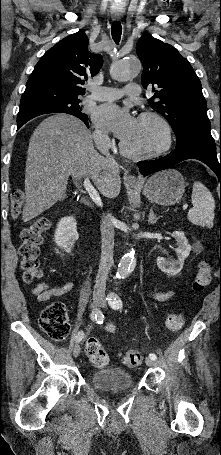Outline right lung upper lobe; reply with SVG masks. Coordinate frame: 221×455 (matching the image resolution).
I'll use <instances>...</instances> for the list:
<instances>
[{"label":"right lung upper lobe","mask_w":221,"mask_h":455,"mask_svg":"<svg viewBox=\"0 0 221 455\" xmlns=\"http://www.w3.org/2000/svg\"><path fill=\"white\" fill-rule=\"evenodd\" d=\"M103 64L100 54L88 51L84 31L69 35L49 49L30 75L20 108L47 104L83 95L88 76L96 75Z\"/></svg>","instance_id":"cb5924a9"}]
</instances>
